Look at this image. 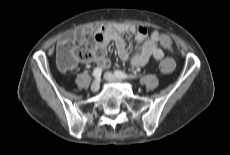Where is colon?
Segmentation results:
<instances>
[{
    "label": "colon",
    "mask_w": 230,
    "mask_h": 155,
    "mask_svg": "<svg viewBox=\"0 0 230 155\" xmlns=\"http://www.w3.org/2000/svg\"><path fill=\"white\" fill-rule=\"evenodd\" d=\"M102 54L101 48H89L86 45H75L61 43L56 52V62L64 70H71L78 62H88ZM176 62L173 57L167 56L160 61V70L169 74L175 70Z\"/></svg>",
    "instance_id": "5ec220e1"
}]
</instances>
